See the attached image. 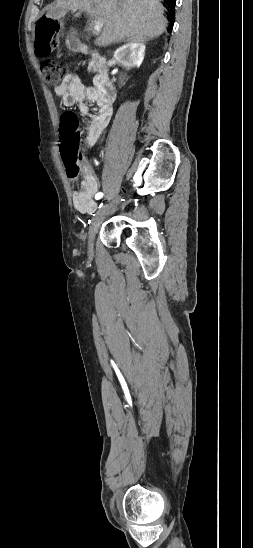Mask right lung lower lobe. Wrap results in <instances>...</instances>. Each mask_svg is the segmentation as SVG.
<instances>
[{"label":"right lung lower lobe","mask_w":253,"mask_h":548,"mask_svg":"<svg viewBox=\"0 0 253 548\" xmlns=\"http://www.w3.org/2000/svg\"><path fill=\"white\" fill-rule=\"evenodd\" d=\"M164 1L168 4L169 8H171V9L173 10V14H172L171 17H170V20H171V22H172V24H173V23H174V19H175L174 9H175V2H176V0H164Z\"/></svg>","instance_id":"98d812e1"}]
</instances>
